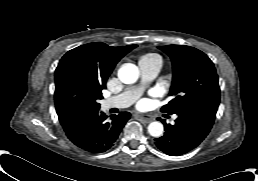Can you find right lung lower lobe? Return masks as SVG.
Instances as JSON below:
<instances>
[{
  "instance_id": "obj_1",
  "label": "right lung lower lobe",
  "mask_w": 258,
  "mask_h": 181,
  "mask_svg": "<svg viewBox=\"0 0 258 181\" xmlns=\"http://www.w3.org/2000/svg\"><path fill=\"white\" fill-rule=\"evenodd\" d=\"M57 114L68 138L79 148L92 153L105 152L111 148L130 118L129 112H121L112 115L108 121L99 108H71Z\"/></svg>"
}]
</instances>
